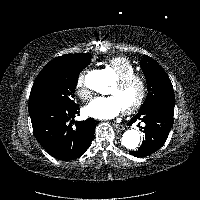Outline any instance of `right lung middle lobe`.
<instances>
[{"instance_id": "right-lung-middle-lobe-1", "label": "right lung middle lobe", "mask_w": 200, "mask_h": 200, "mask_svg": "<svg viewBox=\"0 0 200 200\" xmlns=\"http://www.w3.org/2000/svg\"><path fill=\"white\" fill-rule=\"evenodd\" d=\"M86 53L78 56L68 65L52 71H41L36 77L29 97V111L54 106L72 107L76 105L73 93L80 72L90 64Z\"/></svg>"}]
</instances>
